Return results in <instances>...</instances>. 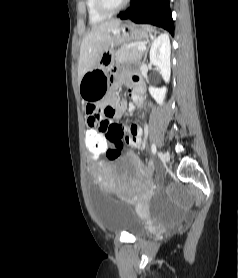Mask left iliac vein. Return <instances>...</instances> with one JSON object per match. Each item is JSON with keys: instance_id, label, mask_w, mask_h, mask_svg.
<instances>
[{"instance_id": "left-iliac-vein-1", "label": "left iliac vein", "mask_w": 238, "mask_h": 278, "mask_svg": "<svg viewBox=\"0 0 238 278\" xmlns=\"http://www.w3.org/2000/svg\"><path fill=\"white\" fill-rule=\"evenodd\" d=\"M159 157L163 162L169 161V155L165 152L160 151L159 152Z\"/></svg>"}]
</instances>
